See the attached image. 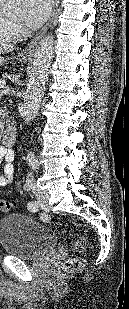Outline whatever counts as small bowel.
I'll return each instance as SVG.
<instances>
[{"label":"small bowel","mask_w":129,"mask_h":309,"mask_svg":"<svg viewBox=\"0 0 129 309\" xmlns=\"http://www.w3.org/2000/svg\"><path fill=\"white\" fill-rule=\"evenodd\" d=\"M13 160V150L6 146H0V164L3 162L2 173L0 174V187L7 186L13 180Z\"/></svg>","instance_id":"obj_1"}]
</instances>
